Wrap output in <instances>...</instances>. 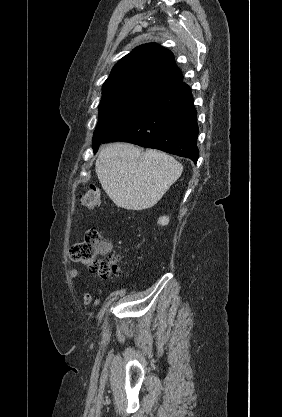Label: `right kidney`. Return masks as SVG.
<instances>
[{"instance_id":"obj_1","label":"right kidney","mask_w":282,"mask_h":417,"mask_svg":"<svg viewBox=\"0 0 282 417\" xmlns=\"http://www.w3.org/2000/svg\"><path fill=\"white\" fill-rule=\"evenodd\" d=\"M169 223V217H160V219H158V225H168Z\"/></svg>"}]
</instances>
